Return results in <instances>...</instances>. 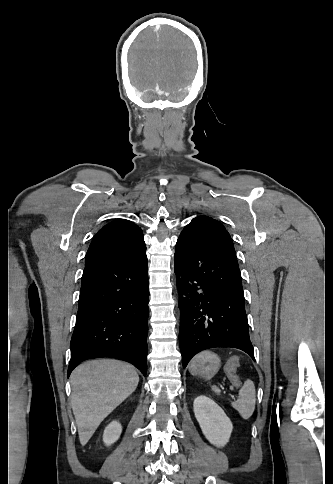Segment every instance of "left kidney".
<instances>
[{"label":"left kidney","instance_id":"obj_1","mask_svg":"<svg viewBox=\"0 0 333 484\" xmlns=\"http://www.w3.org/2000/svg\"><path fill=\"white\" fill-rule=\"evenodd\" d=\"M194 414L206 439L214 446L224 447L233 425L221 407L205 395L194 400Z\"/></svg>","mask_w":333,"mask_h":484}]
</instances>
